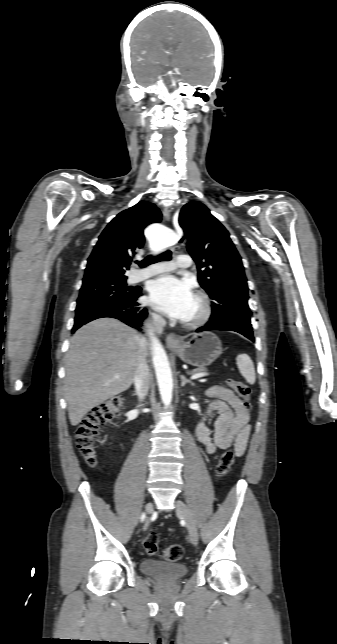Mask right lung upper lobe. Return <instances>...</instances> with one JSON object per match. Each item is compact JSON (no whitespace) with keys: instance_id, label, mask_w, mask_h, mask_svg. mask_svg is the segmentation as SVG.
Instances as JSON below:
<instances>
[{"instance_id":"right-lung-upper-lobe-1","label":"right lung upper lobe","mask_w":337,"mask_h":644,"mask_svg":"<svg viewBox=\"0 0 337 644\" xmlns=\"http://www.w3.org/2000/svg\"><path fill=\"white\" fill-rule=\"evenodd\" d=\"M160 210L141 201L119 213L103 230L85 269L83 281L94 278H125V270L144 245L143 230L161 221Z\"/></svg>"}]
</instances>
